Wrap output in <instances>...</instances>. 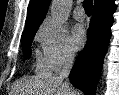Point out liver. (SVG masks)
I'll return each instance as SVG.
<instances>
[{"mask_svg":"<svg viewBox=\"0 0 119 95\" xmlns=\"http://www.w3.org/2000/svg\"><path fill=\"white\" fill-rule=\"evenodd\" d=\"M23 95H81L69 83L49 74L37 75L19 84Z\"/></svg>","mask_w":119,"mask_h":95,"instance_id":"1","label":"liver"}]
</instances>
